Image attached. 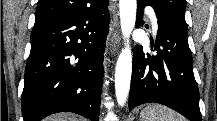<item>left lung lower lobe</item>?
<instances>
[{
    "label": "left lung lower lobe",
    "instance_id": "0a47b994",
    "mask_svg": "<svg viewBox=\"0 0 217 121\" xmlns=\"http://www.w3.org/2000/svg\"><path fill=\"white\" fill-rule=\"evenodd\" d=\"M152 6L159 31L154 44L156 55H145L136 46L129 94V111L143 103L166 105L191 121H201L199 91L193 74L188 31L177 24L151 0H137L136 27L143 25V10ZM153 48V43L151 44Z\"/></svg>",
    "mask_w": 217,
    "mask_h": 121
}]
</instances>
